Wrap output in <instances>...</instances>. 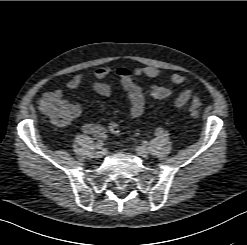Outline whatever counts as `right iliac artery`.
<instances>
[{
    "label": "right iliac artery",
    "mask_w": 247,
    "mask_h": 245,
    "mask_svg": "<svg viewBox=\"0 0 247 245\" xmlns=\"http://www.w3.org/2000/svg\"><path fill=\"white\" fill-rule=\"evenodd\" d=\"M104 143L102 140H98L97 143H96V148L97 149H101L103 147Z\"/></svg>",
    "instance_id": "right-iliac-artery-1"
}]
</instances>
